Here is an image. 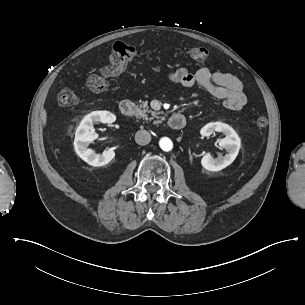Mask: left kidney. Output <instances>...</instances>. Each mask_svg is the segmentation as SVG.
Returning a JSON list of instances; mask_svg holds the SVG:
<instances>
[{
    "label": "left kidney",
    "mask_w": 305,
    "mask_h": 305,
    "mask_svg": "<svg viewBox=\"0 0 305 305\" xmlns=\"http://www.w3.org/2000/svg\"><path fill=\"white\" fill-rule=\"evenodd\" d=\"M215 132H221L226 137L219 140V146L223 147L228 153L217 159L210 154L201 159V166L210 172H218L231 165L241 148L240 137L229 125L222 122L209 123L201 130L202 135L209 137Z\"/></svg>",
    "instance_id": "left-kidney-1"
}]
</instances>
